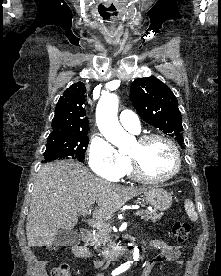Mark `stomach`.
I'll use <instances>...</instances> for the list:
<instances>
[{
  "mask_svg": "<svg viewBox=\"0 0 221 276\" xmlns=\"http://www.w3.org/2000/svg\"><path fill=\"white\" fill-rule=\"evenodd\" d=\"M145 201L155 210L164 211L170 208L172 196L170 193L161 188L149 189L143 193Z\"/></svg>",
  "mask_w": 221,
  "mask_h": 276,
  "instance_id": "1",
  "label": "stomach"
}]
</instances>
